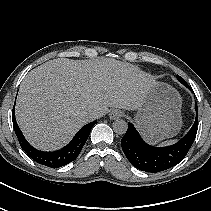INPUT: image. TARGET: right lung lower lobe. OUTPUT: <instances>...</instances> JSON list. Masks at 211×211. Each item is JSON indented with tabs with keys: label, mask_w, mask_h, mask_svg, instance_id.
I'll use <instances>...</instances> for the list:
<instances>
[{
	"label": "right lung lower lobe",
	"mask_w": 211,
	"mask_h": 211,
	"mask_svg": "<svg viewBox=\"0 0 211 211\" xmlns=\"http://www.w3.org/2000/svg\"><path fill=\"white\" fill-rule=\"evenodd\" d=\"M12 121L21 148L31 159L41 165H45L51 168H59L74 161L80 154L93 125L97 123V121H93L83 126L74 136L72 141L62 149L54 152H43L32 147L23 136L15 119V105L12 112Z\"/></svg>",
	"instance_id": "98d812e1"
}]
</instances>
